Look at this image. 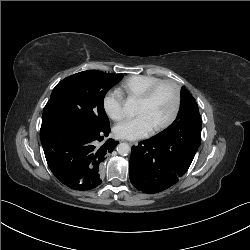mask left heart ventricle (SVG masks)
Instances as JSON below:
<instances>
[{"mask_svg": "<svg viewBox=\"0 0 250 250\" xmlns=\"http://www.w3.org/2000/svg\"><path fill=\"white\" fill-rule=\"evenodd\" d=\"M174 108V92L170 86H162L148 102H137L136 114L144 115L153 129L164 123Z\"/></svg>", "mask_w": 250, "mask_h": 250, "instance_id": "obj_1", "label": "left heart ventricle"}]
</instances>
